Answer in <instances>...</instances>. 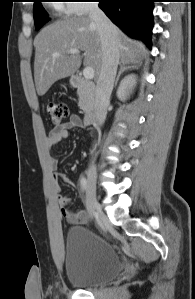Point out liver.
I'll return each instance as SVG.
<instances>
[{
  "label": "liver",
  "mask_w": 195,
  "mask_h": 299,
  "mask_svg": "<svg viewBox=\"0 0 195 299\" xmlns=\"http://www.w3.org/2000/svg\"><path fill=\"white\" fill-rule=\"evenodd\" d=\"M117 29L121 61L138 63L146 52L145 46L128 38ZM34 79L39 96H43L54 82L73 75L82 63L79 53L84 51V65L94 69L98 78L102 66L100 36L96 24L89 17H71L43 28L34 39ZM60 56L55 57L54 54Z\"/></svg>",
  "instance_id": "6515ba94"
}]
</instances>
